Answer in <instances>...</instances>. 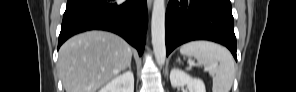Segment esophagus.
Here are the masks:
<instances>
[{"mask_svg": "<svg viewBox=\"0 0 296 92\" xmlns=\"http://www.w3.org/2000/svg\"><path fill=\"white\" fill-rule=\"evenodd\" d=\"M152 0H147V4H148V8H149V10L151 9V7H152Z\"/></svg>", "mask_w": 296, "mask_h": 92, "instance_id": "1", "label": "esophagus"}]
</instances>
